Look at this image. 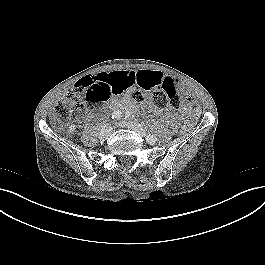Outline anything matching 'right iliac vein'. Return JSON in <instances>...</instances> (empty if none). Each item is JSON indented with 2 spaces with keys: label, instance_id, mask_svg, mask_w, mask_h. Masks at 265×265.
Here are the masks:
<instances>
[{
  "label": "right iliac vein",
  "instance_id": "63e3f726",
  "mask_svg": "<svg viewBox=\"0 0 265 265\" xmlns=\"http://www.w3.org/2000/svg\"><path fill=\"white\" fill-rule=\"evenodd\" d=\"M110 134H111V127L106 126V127H104V128L100 131V133H99V138H100L101 140H106V139H108V137L110 136Z\"/></svg>",
  "mask_w": 265,
  "mask_h": 265
}]
</instances>
